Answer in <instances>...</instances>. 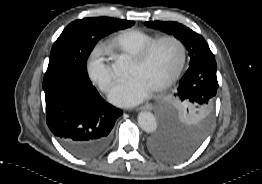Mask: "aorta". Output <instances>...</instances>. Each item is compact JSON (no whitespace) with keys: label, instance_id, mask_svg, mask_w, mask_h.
I'll list each match as a JSON object with an SVG mask.
<instances>
[{"label":"aorta","instance_id":"aorta-1","mask_svg":"<svg viewBox=\"0 0 262 184\" xmlns=\"http://www.w3.org/2000/svg\"><path fill=\"white\" fill-rule=\"evenodd\" d=\"M138 123L142 130L153 133L157 129V121L151 112L142 111L138 115Z\"/></svg>","mask_w":262,"mask_h":184}]
</instances>
